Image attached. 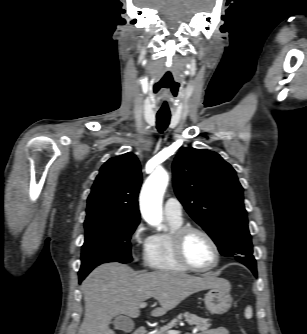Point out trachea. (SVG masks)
I'll list each match as a JSON object with an SVG mask.
<instances>
[{"mask_svg": "<svg viewBox=\"0 0 307 334\" xmlns=\"http://www.w3.org/2000/svg\"><path fill=\"white\" fill-rule=\"evenodd\" d=\"M169 123H170V115L158 114L156 116L157 129L160 133H162L168 127Z\"/></svg>", "mask_w": 307, "mask_h": 334, "instance_id": "obj_1", "label": "trachea"}]
</instances>
